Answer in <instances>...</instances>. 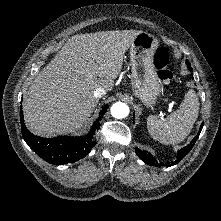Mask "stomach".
<instances>
[{
  "instance_id": "obj_1",
  "label": "stomach",
  "mask_w": 221,
  "mask_h": 221,
  "mask_svg": "<svg viewBox=\"0 0 221 221\" xmlns=\"http://www.w3.org/2000/svg\"><path fill=\"white\" fill-rule=\"evenodd\" d=\"M158 40L152 34L141 32L130 47L133 93L146 107H153L162 91V82L154 65Z\"/></svg>"
}]
</instances>
